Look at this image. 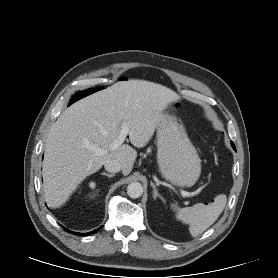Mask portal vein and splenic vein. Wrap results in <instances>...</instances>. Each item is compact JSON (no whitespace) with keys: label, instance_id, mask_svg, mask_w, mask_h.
Returning <instances> with one entry per match:
<instances>
[{"label":"portal vein and splenic vein","instance_id":"portal-vein-and-splenic-vein-1","mask_svg":"<svg viewBox=\"0 0 278 278\" xmlns=\"http://www.w3.org/2000/svg\"><path fill=\"white\" fill-rule=\"evenodd\" d=\"M127 134H128V128L126 126H123L119 136L110 144L109 148L111 150L117 149L124 142ZM94 151L96 155H103L107 153V150L101 148H94ZM180 193L184 197H192V193L187 192L183 189H180Z\"/></svg>","mask_w":278,"mask_h":278}]
</instances>
